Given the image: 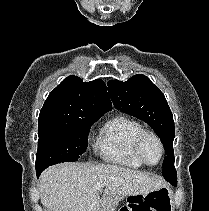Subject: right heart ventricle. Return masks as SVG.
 <instances>
[{"mask_svg":"<svg viewBox=\"0 0 209 211\" xmlns=\"http://www.w3.org/2000/svg\"><path fill=\"white\" fill-rule=\"evenodd\" d=\"M141 124L122 114L106 120L99 128L95 149L103 160L128 168H141L142 162L134 152V140L142 130Z\"/></svg>","mask_w":209,"mask_h":211,"instance_id":"1","label":"right heart ventricle"}]
</instances>
